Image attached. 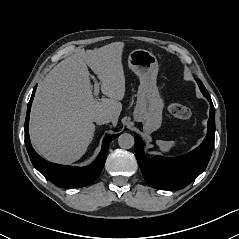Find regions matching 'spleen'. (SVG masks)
<instances>
[{"label":"spleen","instance_id":"spleen-1","mask_svg":"<svg viewBox=\"0 0 239 239\" xmlns=\"http://www.w3.org/2000/svg\"><path fill=\"white\" fill-rule=\"evenodd\" d=\"M176 141H164L158 140L157 145L159 146L160 150L164 153H167L171 150L173 146H175Z\"/></svg>","mask_w":239,"mask_h":239}]
</instances>
